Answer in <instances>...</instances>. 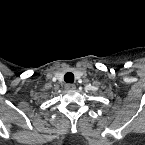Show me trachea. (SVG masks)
Instances as JSON below:
<instances>
[{
    "mask_svg": "<svg viewBox=\"0 0 145 145\" xmlns=\"http://www.w3.org/2000/svg\"><path fill=\"white\" fill-rule=\"evenodd\" d=\"M64 81L67 83H73L74 82V74L71 72H68L64 76Z\"/></svg>",
    "mask_w": 145,
    "mask_h": 145,
    "instance_id": "trachea-1",
    "label": "trachea"
}]
</instances>
